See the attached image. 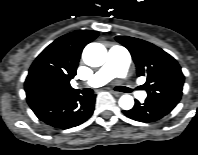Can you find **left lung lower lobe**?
Wrapping results in <instances>:
<instances>
[{"label": "left lung lower lobe", "mask_w": 198, "mask_h": 155, "mask_svg": "<svg viewBox=\"0 0 198 155\" xmlns=\"http://www.w3.org/2000/svg\"><path fill=\"white\" fill-rule=\"evenodd\" d=\"M177 104L175 101L163 99H146L143 104L135 100V106L131 110L123 111V113L136 121L149 123L157 121L170 113Z\"/></svg>", "instance_id": "obj_1"}]
</instances>
